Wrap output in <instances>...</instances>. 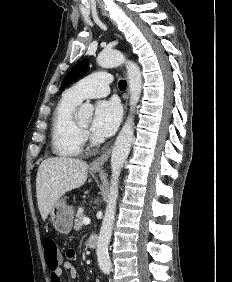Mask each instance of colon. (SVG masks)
<instances>
[{
	"mask_svg": "<svg viewBox=\"0 0 232 282\" xmlns=\"http://www.w3.org/2000/svg\"><path fill=\"white\" fill-rule=\"evenodd\" d=\"M44 257L49 270L55 271L60 267L61 254L56 241L51 237H45L42 241Z\"/></svg>",
	"mask_w": 232,
	"mask_h": 282,
	"instance_id": "1",
	"label": "colon"
}]
</instances>
